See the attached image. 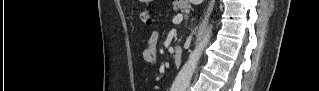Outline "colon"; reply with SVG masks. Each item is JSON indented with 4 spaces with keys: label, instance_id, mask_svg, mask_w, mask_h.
Instances as JSON below:
<instances>
[{
    "label": "colon",
    "instance_id": "obj_1",
    "mask_svg": "<svg viewBox=\"0 0 319 91\" xmlns=\"http://www.w3.org/2000/svg\"><path fill=\"white\" fill-rule=\"evenodd\" d=\"M139 19L143 24L147 26H151L153 23L151 10L149 8L142 9L139 12Z\"/></svg>",
    "mask_w": 319,
    "mask_h": 91
}]
</instances>
